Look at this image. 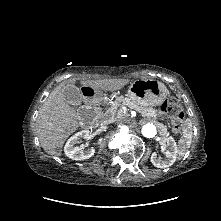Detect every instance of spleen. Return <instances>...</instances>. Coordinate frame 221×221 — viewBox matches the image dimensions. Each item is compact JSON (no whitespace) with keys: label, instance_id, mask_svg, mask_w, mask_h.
Listing matches in <instances>:
<instances>
[{"label":"spleen","instance_id":"spleen-1","mask_svg":"<svg viewBox=\"0 0 221 221\" xmlns=\"http://www.w3.org/2000/svg\"><path fill=\"white\" fill-rule=\"evenodd\" d=\"M192 143V132L189 126L183 129V135L179 140L181 151L180 153L184 155L185 151L190 148Z\"/></svg>","mask_w":221,"mask_h":221}]
</instances>
